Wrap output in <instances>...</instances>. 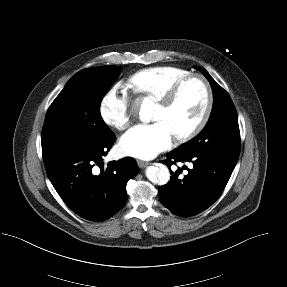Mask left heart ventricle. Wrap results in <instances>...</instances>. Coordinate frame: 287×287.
Segmentation results:
<instances>
[{
    "mask_svg": "<svg viewBox=\"0 0 287 287\" xmlns=\"http://www.w3.org/2000/svg\"><path fill=\"white\" fill-rule=\"evenodd\" d=\"M206 91L199 80H191L181 90L170 109L156 106L153 121H162L175 137L189 131L201 118L206 106Z\"/></svg>",
    "mask_w": 287,
    "mask_h": 287,
    "instance_id": "b2bd125f",
    "label": "left heart ventricle"
}]
</instances>
